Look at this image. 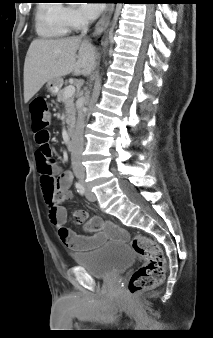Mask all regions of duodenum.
<instances>
[{"label": "duodenum", "instance_id": "410a0bca", "mask_svg": "<svg viewBox=\"0 0 213 338\" xmlns=\"http://www.w3.org/2000/svg\"><path fill=\"white\" fill-rule=\"evenodd\" d=\"M72 141H73V129H71V135H70V138H69L68 143H67L68 149H71Z\"/></svg>", "mask_w": 213, "mask_h": 338}]
</instances>
